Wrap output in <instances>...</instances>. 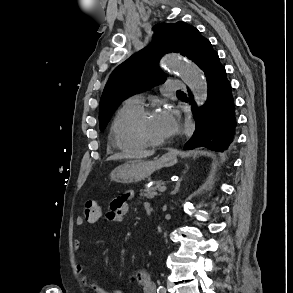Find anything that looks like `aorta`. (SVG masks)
Returning a JSON list of instances; mask_svg holds the SVG:
<instances>
[{
    "label": "aorta",
    "mask_w": 293,
    "mask_h": 293,
    "mask_svg": "<svg viewBox=\"0 0 293 293\" xmlns=\"http://www.w3.org/2000/svg\"><path fill=\"white\" fill-rule=\"evenodd\" d=\"M163 66L177 72L183 82L190 88L198 106L204 104L208 95V87L201 70L191 61L178 54H169L163 59Z\"/></svg>",
    "instance_id": "1"
}]
</instances>
